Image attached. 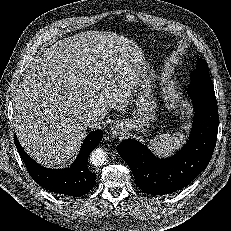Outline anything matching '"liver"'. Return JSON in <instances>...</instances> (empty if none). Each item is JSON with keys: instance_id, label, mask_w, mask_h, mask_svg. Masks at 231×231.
<instances>
[{"instance_id": "1", "label": "liver", "mask_w": 231, "mask_h": 231, "mask_svg": "<svg viewBox=\"0 0 231 231\" xmlns=\"http://www.w3.org/2000/svg\"><path fill=\"white\" fill-rule=\"evenodd\" d=\"M142 61L137 45L112 32H81L44 50L25 69L13 97L22 147L45 166L70 159L86 137L85 116L95 114L101 122L109 109L125 108Z\"/></svg>"}]
</instances>
